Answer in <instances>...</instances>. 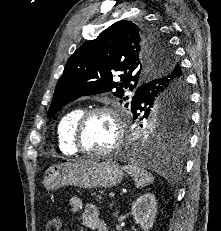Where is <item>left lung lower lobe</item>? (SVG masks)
<instances>
[{
  "mask_svg": "<svg viewBox=\"0 0 221 231\" xmlns=\"http://www.w3.org/2000/svg\"><path fill=\"white\" fill-rule=\"evenodd\" d=\"M182 74L183 72L180 67V70L175 69L171 73L145 83L137 89L132 100L136 101L137 105H139L142 104L145 100L153 98L156 95L163 93L171 94L173 90H175L178 86L184 90H187L186 80ZM170 100L172 105L176 107H182L187 102V99L180 97H175V99L173 97ZM186 145V135L185 137L179 136L177 138H162L157 137L156 135H151L147 140L139 143L137 150L134 151V156L137 160L140 161L146 160L169 163L168 152L171 151L175 156L181 155L184 152Z\"/></svg>",
  "mask_w": 221,
  "mask_h": 231,
  "instance_id": "left-lung-lower-lobe-1",
  "label": "left lung lower lobe"
}]
</instances>
